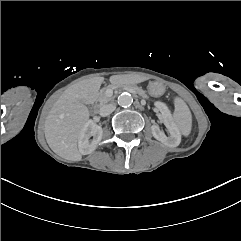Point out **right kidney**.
<instances>
[{
  "label": "right kidney",
  "instance_id": "1",
  "mask_svg": "<svg viewBox=\"0 0 241 241\" xmlns=\"http://www.w3.org/2000/svg\"><path fill=\"white\" fill-rule=\"evenodd\" d=\"M103 130L96 122L90 120L82 128L79 137V148L83 155L92 153L101 141ZM93 137V139H91Z\"/></svg>",
  "mask_w": 241,
  "mask_h": 241
}]
</instances>
